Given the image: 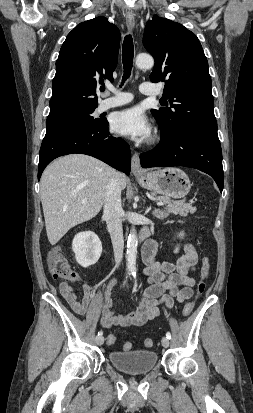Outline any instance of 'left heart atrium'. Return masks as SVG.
<instances>
[{"instance_id": "1", "label": "left heart atrium", "mask_w": 253, "mask_h": 413, "mask_svg": "<svg viewBox=\"0 0 253 413\" xmlns=\"http://www.w3.org/2000/svg\"><path fill=\"white\" fill-rule=\"evenodd\" d=\"M111 129L121 136L144 141L150 137L152 126L144 112L133 107L116 112L111 119Z\"/></svg>"}]
</instances>
